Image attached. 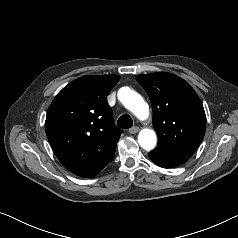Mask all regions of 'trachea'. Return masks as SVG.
<instances>
[{
	"instance_id": "obj_1",
	"label": "trachea",
	"mask_w": 238,
	"mask_h": 238,
	"mask_svg": "<svg viewBox=\"0 0 238 238\" xmlns=\"http://www.w3.org/2000/svg\"><path fill=\"white\" fill-rule=\"evenodd\" d=\"M117 125L123 129L131 128L133 126L132 118L128 114H124L118 119Z\"/></svg>"
}]
</instances>
